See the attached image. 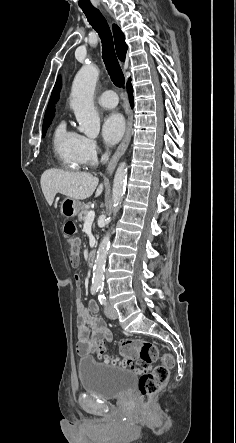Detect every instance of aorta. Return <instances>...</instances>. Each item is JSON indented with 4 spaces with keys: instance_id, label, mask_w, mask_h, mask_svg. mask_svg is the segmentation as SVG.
<instances>
[{
    "instance_id": "aorta-1",
    "label": "aorta",
    "mask_w": 236,
    "mask_h": 443,
    "mask_svg": "<svg viewBox=\"0 0 236 443\" xmlns=\"http://www.w3.org/2000/svg\"><path fill=\"white\" fill-rule=\"evenodd\" d=\"M99 69L90 63L82 66L72 84L70 106L74 111L79 124L78 130L90 138H96L100 132V118L93 103ZM127 180V167L122 162L116 170L113 191V215L116 216L120 209L125 193ZM110 246V233H106L97 250L93 267L92 283L97 287L104 285V271L107 253Z\"/></svg>"
}]
</instances>
